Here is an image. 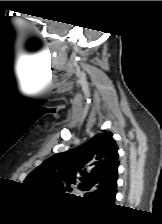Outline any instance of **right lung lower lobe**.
Here are the masks:
<instances>
[{"instance_id":"obj_1","label":"right lung lower lobe","mask_w":162,"mask_h":224,"mask_svg":"<svg viewBox=\"0 0 162 224\" xmlns=\"http://www.w3.org/2000/svg\"><path fill=\"white\" fill-rule=\"evenodd\" d=\"M115 195H116V194H115ZM114 199H115V196L113 197L112 202L114 201Z\"/></svg>"}]
</instances>
